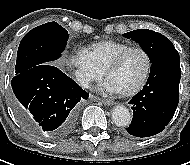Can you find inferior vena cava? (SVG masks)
<instances>
[{"instance_id":"1","label":"inferior vena cava","mask_w":190,"mask_h":165,"mask_svg":"<svg viewBox=\"0 0 190 165\" xmlns=\"http://www.w3.org/2000/svg\"><path fill=\"white\" fill-rule=\"evenodd\" d=\"M76 78L82 87L89 88L90 80L88 77H86L84 74H82L80 72H76Z\"/></svg>"}]
</instances>
